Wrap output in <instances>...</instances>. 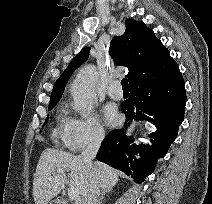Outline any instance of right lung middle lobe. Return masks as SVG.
Instances as JSON below:
<instances>
[{"label": "right lung middle lobe", "mask_w": 212, "mask_h": 204, "mask_svg": "<svg viewBox=\"0 0 212 204\" xmlns=\"http://www.w3.org/2000/svg\"><path fill=\"white\" fill-rule=\"evenodd\" d=\"M55 104H56V103H49V108H48V110H51V109L55 106ZM46 121H47V119H46Z\"/></svg>", "instance_id": "obj_1"}]
</instances>
